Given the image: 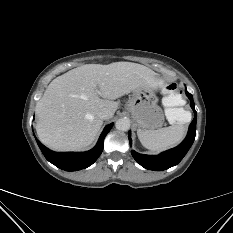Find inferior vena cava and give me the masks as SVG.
Masks as SVG:
<instances>
[{
    "instance_id": "obj_1",
    "label": "inferior vena cava",
    "mask_w": 233,
    "mask_h": 233,
    "mask_svg": "<svg viewBox=\"0 0 233 233\" xmlns=\"http://www.w3.org/2000/svg\"><path fill=\"white\" fill-rule=\"evenodd\" d=\"M114 115L113 112H111L110 110L108 109H102L98 112V116L103 119V120H107V119H110L112 118Z\"/></svg>"
}]
</instances>
